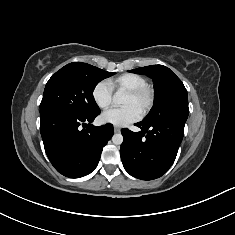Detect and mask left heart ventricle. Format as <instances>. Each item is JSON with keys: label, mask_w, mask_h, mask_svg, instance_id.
<instances>
[{"label": "left heart ventricle", "mask_w": 235, "mask_h": 235, "mask_svg": "<svg viewBox=\"0 0 235 235\" xmlns=\"http://www.w3.org/2000/svg\"><path fill=\"white\" fill-rule=\"evenodd\" d=\"M122 103H123V105H132L135 108H137L139 111H141L143 104H144V99L143 98H135V97H132L128 94H125Z\"/></svg>", "instance_id": "obj_1"}]
</instances>
